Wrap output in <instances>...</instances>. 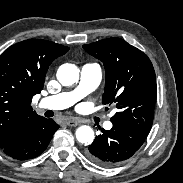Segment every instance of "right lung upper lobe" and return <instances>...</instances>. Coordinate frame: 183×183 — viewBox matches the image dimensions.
<instances>
[{
  "mask_svg": "<svg viewBox=\"0 0 183 183\" xmlns=\"http://www.w3.org/2000/svg\"><path fill=\"white\" fill-rule=\"evenodd\" d=\"M68 50L54 42L29 39L0 55V146L20 123L38 116L30 106L32 97L43 89L49 65Z\"/></svg>",
  "mask_w": 183,
  "mask_h": 183,
  "instance_id": "cb5924a9",
  "label": "right lung upper lobe"
}]
</instances>
